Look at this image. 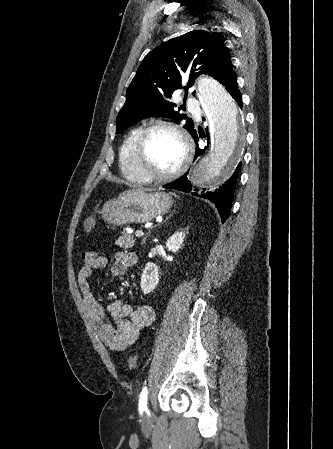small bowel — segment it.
Here are the masks:
<instances>
[{"instance_id":"obj_1","label":"small bowel","mask_w":333,"mask_h":449,"mask_svg":"<svg viewBox=\"0 0 333 449\" xmlns=\"http://www.w3.org/2000/svg\"><path fill=\"white\" fill-rule=\"evenodd\" d=\"M81 258L82 265L78 270L77 281L84 310L101 341L113 351H122L135 343L140 332L154 321L155 310L151 305L131 306L115 300L107 307L112 319L108 320L104 308L95 299L89 283L93 271L105 267L107 259L93 251L83 252ZM136 260V255L133 253L117 252L110 266L112 277L124 275L126 270L136 263Z\"/></svg>"}]
</instances>
